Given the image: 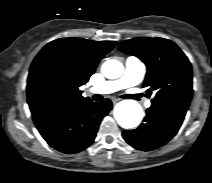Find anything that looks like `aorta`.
Returning a JSON list of instances; mask_svg holds the SVG:
<instances>
[{
	"mask_svg": "<svg viewBox=\"0 0 212 183\" xmlns=\"http://www.w3.org/2000/svg\"><path fill=\"white\" fill-rule=\"evenodd\" d=\"M102 73L108 79H117L123 73V65L114 59L107 60L102 65ZM114 116L122 128L132 129L140 124L143 110L136 101L123 100L115 106Z\"/></svg>",
	"mask_w": 212,
	"mask_h": 183,
	"instance_id": "762f6f07",
	"label": "aorta"
}]
</instances>
